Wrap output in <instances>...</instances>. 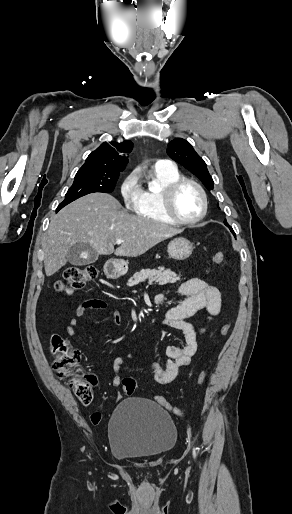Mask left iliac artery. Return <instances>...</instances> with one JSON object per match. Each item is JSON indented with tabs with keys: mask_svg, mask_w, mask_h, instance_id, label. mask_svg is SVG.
<instances>
[{
	"mask_svg": "<svg viewBox=\"0 0 292 514\" xmlns=\"http://www.w3.org/2000/svg\"><path fill=\"white\" fill-rule=\"evenodd\" d=\"M193 454H194V457H195V455H196V453H195V449H194V451H193Z\"/></svg>",
	"mask_w": 292,
	"mask_h": 514,
	"instance_id": "44dca946",
	"label": "left iliac artery"
}]
</instances>
